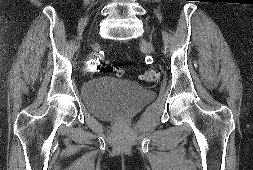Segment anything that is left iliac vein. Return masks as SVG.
I'll return each instance as SVG.
<instances>
[{
  "instance_id": "obj_1",
  "label": "left iliac vein",
  "mask_w": 253,
  "mask_h": 170,
  "mask_svg": "<svg viewBox=\"0 0 253 170\" xmlns=\"http://www.w3.org/2000/svg\"><path fill=\"white\" fill-rule=\"evenodd\" d=\"M149 51L154 53V48L152 46H149Z\"/></svg>"
}]
</instances>
